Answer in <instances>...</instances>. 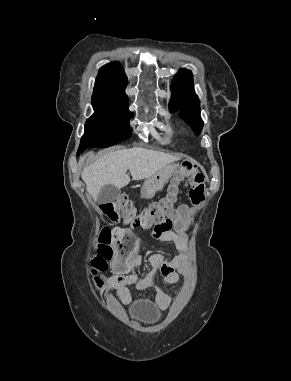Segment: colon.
<instances>
[{
    "instance_id": "obj_1",
    "label": "colon",
    "mask_w": 291,
    "mask_h": 381,
    "mask_svg": "<svg viewBox=\"0 0 291 381\" xmlns=\"http://www.w3.org/2000/svg\"><path fill=\"white\" fill-rule=\"evenodd\" d=\"M184 171L189 174L193 172L190 166H185ZM192 175L193 188L190 197L193 203L199 204L203 200L204 187L198 181L199 174ZM101 212L111 222L122 219L126 228H102L98 235L96 254L92 263L96 270H106L111 262L116 270H120L124 264H127L133 232L169 228L167 221L174 212V197L171 195L162 198L142 210H137L128 198L120 197L103 203Z\"/></svg>"
}]
</instances>
